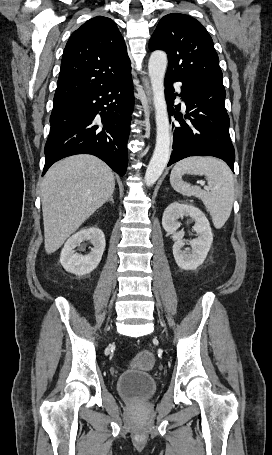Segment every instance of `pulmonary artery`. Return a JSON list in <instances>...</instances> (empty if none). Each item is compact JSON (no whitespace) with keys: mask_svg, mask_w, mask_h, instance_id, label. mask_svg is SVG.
<instances>
[{"mask_svg":"<svg viewBox=\"0 0 272 455\" xmlns=\"http://www.w3.org/2000/svg\"><path fill=\"white\" fill-rule=\"evenodd\" d=\"M175 86H176L177 90L180 91V85H179V83H176Z\"/></svg>","mask_w":272,"mask_h":455,"instance_id":"pulmonary-artery-1","label":"pulmonary artery"}]
</instances>
